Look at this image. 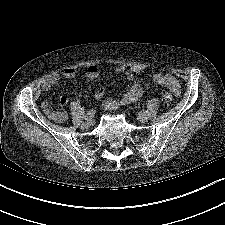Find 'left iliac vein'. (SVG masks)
Returning a JSON list of instances; mask_svg holds the SVG:
<instances>
[{
	"instance_id": "obj_1",
	"label": "left iliac vein",
	"mask_w": 225,
	"mask_h": 225,
	"mask_svg": "<svg viewBox=\"0 0 225 225\" xmlns=\"http://www.w3.org/2000/svg\"><path fill=\"white\" fill-rule=\"evenodd\" d=\"M138 120L140 122H147L148 121V116L146 114H144V113H141V114L138 115Z\"/></svg>"
}]
</instances>
